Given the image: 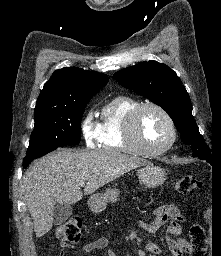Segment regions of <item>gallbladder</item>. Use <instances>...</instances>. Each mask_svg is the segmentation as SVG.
<instances>
[{
  "label": "gallbladder",
  "mask_w": 221,
  "mask_h": 256,
  "mask_svg": "<svg viewBox=\"0 0 221 256\" xmlns=\"http://www.w3.org/2000/svg\"><path fill=\"white\" fill-rule=\"evenodd\" d=\"M54 224L60 225L72 215V206L66 203L57 202L53 208Z\"/></svg>",
  "instance_id": "gallbladder-1"
}]
</instances>
